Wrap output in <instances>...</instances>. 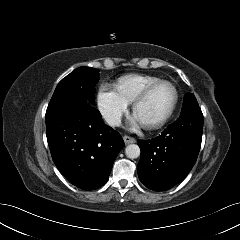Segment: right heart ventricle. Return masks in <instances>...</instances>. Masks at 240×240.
Here are the masks:
<instances>
[{"instance_id": "obj_1", "label": "right heart ventricle", "mask_w": 240, "mask_h": 240, "mask_svg": "<svg viewBox=\"0 0 240 240\" xmlns=\"http://www.w3.org/2000/svg\"><path fill=\"white\" fill-rule=\"evenodd\" d=\"M159 81L162 79L152 75L128 74L115 82L114 90L123 101L130 104L144 89Z\"/></svg>"}]
</instances>
